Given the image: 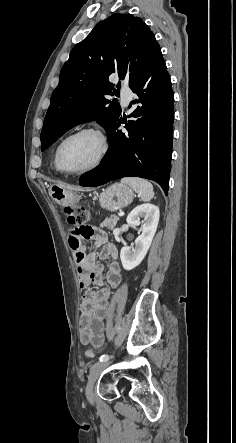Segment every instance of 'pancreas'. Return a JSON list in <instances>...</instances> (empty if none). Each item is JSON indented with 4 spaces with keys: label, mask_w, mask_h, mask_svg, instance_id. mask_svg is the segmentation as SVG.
Wrapping results in <instances>:
<instances>
[{
    "label": "pancreas",
    "mask_w": 236,
    "mask_h": 443,
    "mask_svg": "<svg viewBox=\"0 0 236 443\" xmlns=\"http://www.w3.org/2000/svg\"><path fill=\"white\" fill-rule=\"evenodd\" d=\"M118 220H119V217H117V216L114 215V216H111L109 219L106 218V219L100 224V226H101V227H106V228H108V229H110V230H113V229L115 228V226H116Z\"/></svg>",
    "instance_id": "obj_1"
}]
</instances>
